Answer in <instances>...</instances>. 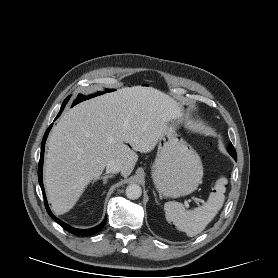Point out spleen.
<instances>
[{"mask_svg":"<svg viewBox=\"0 0 278 278\" xmlns=\"http://www.w3.org/2000/svg\"><path fill=\"white\" fill-rule=\"evenodd\" d=\"M226 183V178H220L215 185L216 192L210 193L207 203L194 210H185L183 204L179 202L165 203L166 219L173 223L178 230L185 232L187 236H196L205 229L222 208L225 200L224 192L226 189L224 185Z\"/></svg>","mask_w":278,"mask_h":278,"instance_id":"1","label":"spleen"}]
</instances>
